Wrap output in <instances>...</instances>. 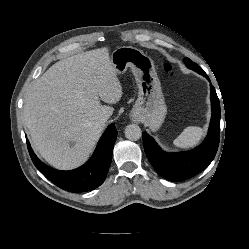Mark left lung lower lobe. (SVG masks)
<instances>
[{
    "label": "left lung lower lobe",
    "instance_id": "0a47b994",
    "mask_svg": "<svg viewBox=\"0 0 249 249\" xmlns=\"http://www.w3.org/2000/svg\"><path fill=\"white\" fill-rule=\"evenodd\" d=\"M209 77L203 69L196 71ZM211 88L212 118L203 143L190 151L164 152L146 132L142 134L146 155L159 175L170 181H183L205 170L214 159L220 140V102L215 88Z\"/></svg>",
    "mask_w": 249,
    "mask_h": 249
}]
</instances>
